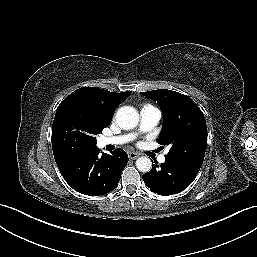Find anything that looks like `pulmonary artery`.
I'll return each mask as SVG.
<instances>
[{"instance_id": "1", "label": "pulmonary artery", "mask_w": 257, "mask_h": 257, "mask_svg": "<svg viewBox=\"0 0 257 257\" xmlns=\"http://www.w3.org/2000/svg\"><path fill=\"white\" fill-rule=\"evenodd\" d=\"M161 118V112L158 108L147 105L144 106L140 111V132H148L155 128ZM136 137L135 133L120 135L116 137H103L101 139L102 145H121L132 141ZM165 154L158 157L160 163L165 162Z\"/></svg>"}]
</instances>
